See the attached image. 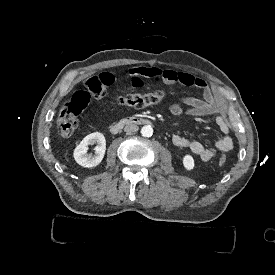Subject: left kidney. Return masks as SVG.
<instances>
[{
  "instance_id": "obj_1",
  "label": "left kidney",
  "mask_w": 275,
  "mask_h": 275,
  "mask_svg": "<svg viewBox=\"0 0 275 275\" xmlns=\"http://www.w3.org/2000/svg\"><path fill=\"white\" fill-rule=\"evenodd\" d=\"M182 165L187 171H192L195 168V160L190 154H186L182 158Z\"/></svg>"
}]
</instances>
